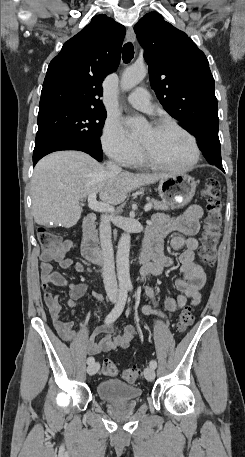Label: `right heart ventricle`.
<instances>
[{
  "instance_id": "obj_1",
  "label": "right heart ventricle",
  "mask_w": 245,
  "mask_h": 457,
  "mask_svg": "<svg viewBox=\"0 0 245 457\" xmlns=\"http://www.w3.org/2000/svg\"><path fill=\"white\" fill-rule=\"evenodd\" d=\"M128 164H130V165H139V164H141V161H140V159L138 157L135 156Z\"/></svg>"
}]
</instances>
